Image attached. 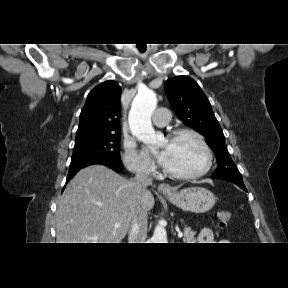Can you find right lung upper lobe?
<instances>
[{"mask_svg":"<svg viewBox=\"0 0 288 288\" xmlns=\"http://www.w3.org/2000/svg\"><path fill=\"white\" fill-rule=\"evenodd\" d=\"M120 86L112 80L96 86L87 96L80 114L76 141L120 133Z\"/></svg>","mask_w":288,"mask_h":288,"instance_id":"cb5924a9","label":"right lung upper lobe"}]
</instances>
